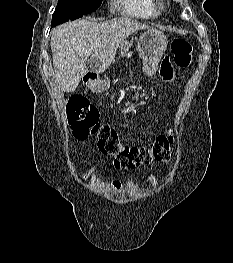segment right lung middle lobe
I'll return each instance as SVG.
<instances>
[{"label":"right lung middle lobe","mask_w":233,"mask_h":263,"mask_svg":"<svg viewBox=\"0 0 233 263\" xmlns=\"http://www.w3.org/2000/svg\"><path fill=\"white\" fill-rule=\"evenodd\" d=\"M101 3L102 0H58L52 16V24L58 25L82 17L98 9Z\"/></svg>","instance_id":"right-lung-middle-lobe-1"}]
</instances>
